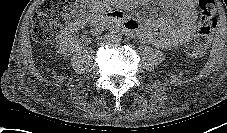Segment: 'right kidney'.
Listing matches in <instances>:
<instances>
[{
  "label": "right kidney",
  "instance_id": "obj_1",
  "mask_svg": "<svg viewBox=\"0 0 227 133\" xmlns=\"http://www.w3.org/2000/svg\"><path fill=\"white\" fill-rule=\"evenodd\" d=\"M84 24H85V21L82 19H76L68 24V26L65 28L64 36L63 38L60 39V43L58 46L59 47L58 52L60 54L66 55L68 51L67 49L72 50V47L76 46V44L78 46L79 41L75 40L74 36H75V33L80 28H82Z\"/></svg>",
  "mask_w": 227,
  "mask_h": 133
}]
</instances>
